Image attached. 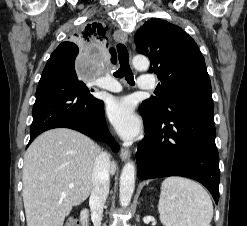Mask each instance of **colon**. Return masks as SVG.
<instances>
[{"mask_svg":"<svg viewBox=\"0 0 247 226\" xmlns=\"http://www.w3.org/2000/svg\"><path fill=\"white\" fill-rule=\"evenodd\" d=\"M64 226H81V222L77 217H70L67 219Z\"/></svg>","mask_w":247,"mask_h":226,"instance_id":"1","label":"colon"}]
</instances>
